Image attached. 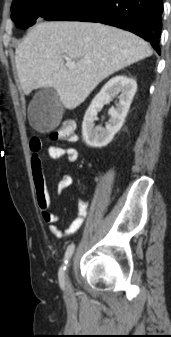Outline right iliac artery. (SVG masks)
Returning a JSON list of instances; mask_svg holds the SVG:
<instances>
[{
  "instance_id": "right-iliac-artery-1",
  "label": "right iliac artery",
  "mask_w": 171,
  "mask_h": 337,
  "mask_svg": "<svg viewBox=\"0 0 171 337\" xmlns=\"http://www.w3.org/2000/svg\"><path fill=\"white\" fill-rule=\"evenodd\" d=\"M74 244H71L68 246L66 252H65V256H64V264L63 266L60 268V273H59V280L61 282V284H64V271L66 270V265L68 263V260L71 258L73 252H74Z\"/></svg>"
}]
</instances>
